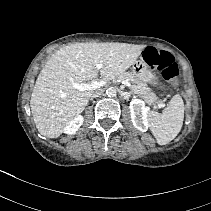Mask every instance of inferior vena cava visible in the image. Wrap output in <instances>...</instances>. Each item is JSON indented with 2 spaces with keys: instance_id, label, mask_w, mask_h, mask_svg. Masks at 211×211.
Listing matches in <instances>:
<instances>
[{
  "instance_id": "1",
  "label": "inferior vena cava",
  "mask_w": 211,
  "mask_h": 211,
  "mask_svg": "<svg viewBox=\"0 0 211 211\" xmlns=\"http://www.w3.org/2000/svg\"><path fill=\"white\" fill-rule=\"evenodd\" d=\"M103 90H96V91H94L92 94H91V98H96V97H99V96H101V95H103Z\"/></svg>"
}]
</instances>
